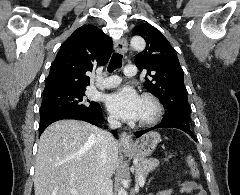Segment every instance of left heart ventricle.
<instances>
[{"label": "left heart ventricle", "instance_id": "b2bd125f", "mask_svg": "<svg viewBox=\"0 0 240 195\" xmlns=\"http://www.w3.org/2000/svg\"><path fill=\"white\" fill-rule=\"evenodd\" d=\"M150 113H151L150 105L148 103L142 101V103H141V110H140V116H139L138 121L148 117L150 115Z\"/></svg>", "mask_w": 240, "mask_h": 195}]
</instances>
